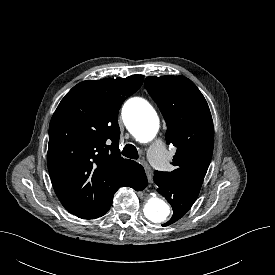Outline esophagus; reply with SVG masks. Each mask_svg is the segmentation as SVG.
I'll return each mask as SVG.
<instances>
[{
    "instance_id": "1",
    "label": "esophagus",
    "mask_w": 275,
    "mask_h": 275,
    "mask_svg": "<svg viewBox=\"0 0 275 275\" xmlns=\"http://www.w3.org/2000/svg\"><path fill=\"white\" fill-rule=\"evenodd\" d=\"M139 163L144 167L145 173H146L148 179L150 180L152 177V170H151L150 166L148 165V163L146 161H143V160L140 161Z\"/></svg>"
}]
</instances>
